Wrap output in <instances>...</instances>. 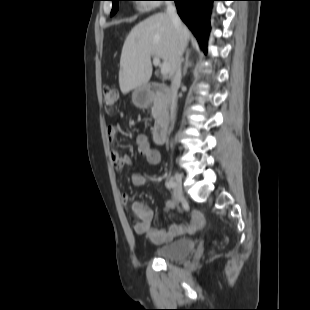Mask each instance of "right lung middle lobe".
<instances>
[{
    "label": "right lung middle lobe",
    "mask_w": 310,
    "mask_h": 310,
    "mask_svg": "<svg viewBox=\"0 0 310 310\" xmlns=\"http://www.w3.org/2000/svg\"><path fill=\"white\" fill-rule=\"evenodd\" d=\"M113 2V7H112V11H111V16L114 15L117 10H118V1L121 0H111Z\"/></svg>",
    "instance_id": "obj_1"
}]
</instances>
